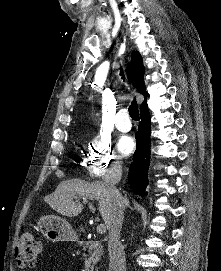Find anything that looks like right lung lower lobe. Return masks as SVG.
Here are the masks:
<instances>
[{"label": "right lung lower lobe", "mask_w": 221, "mask_h": 271, "mask_svg": "<svg viewBox=\"0 0 221 271\" xmlns=\"http://www.w3.org/2000/svg\"><path fill=\"white\" fill-rule=\"evenodd\" d=\"M141 122L136 134L137 148L133 162L129 168V184L133 191L140 196L147 195L145 188L148 184V168L150 163V129L151 120L148 107L140 110Z\"/></svg>", "instance_id": "1"}]
</instances>
